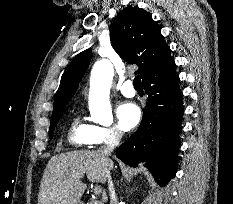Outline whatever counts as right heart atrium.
Wrapping results in <instances>:
<instances>
[{
    "label": "right heart atrium",
    "mask_w": 233,
    "mask_h": 204,
    "mask_svg": "<svg viewBox=\"0 0 233 204\" xmlns=\"http://www.w3.org/2000/svg\"><path fill=\"white\" fill-rule=\"evenodd\" d=\"M121 136L120 130L115 126L92 125L89 145L113 143L120 140Z\"/></svg>",
    "instance_id": "1"
}]
</instances>
